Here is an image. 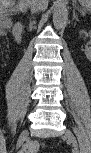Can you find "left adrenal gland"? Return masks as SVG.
<instances>
[{"instance_id": "obj_1", "label": "left adrenal gland", "mask_w": 91, "mask_h": 153, "mask_svg": "<svg viewBox=\"0 0 91 153\" xmlns=\"http://www.w3.org/2000/svg\"><path fill=\"white\" fill-rule=\"evenodd\" d=\"M73 19H75L76 21H79L77 15H76V13H75V11L73 12Z\"/></svg>"}]
</instances>
